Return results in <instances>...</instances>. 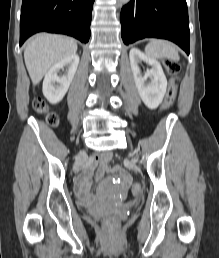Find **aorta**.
<instances>
[{
    "label": "aorta",
    "instance_id": "762f6f07",
    "mask_svg": "<svg viewBox=\"0 0 219 258\" xmlns=\"http://www.w3.org/2000/svg\"><path fill=\"white\" fill-rule=\"evenodd\" d=\"M130 0H119L121 4H127Z\"/></svg>",
    "mask_w": 219,
    "mask_h": 258
}]
</instances>
